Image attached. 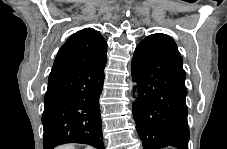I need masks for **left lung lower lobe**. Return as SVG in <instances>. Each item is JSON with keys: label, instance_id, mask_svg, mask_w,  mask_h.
Returning <instances> with one entry per match:
<instances>
[{"label": "left lung lower lobe", "instance_id": "0a47b994", "mask_svg": "<svg viewBox=\"0 0 227 149\" xmlns=\"http://www.w3.org/2000/svg\"><path fill=\"white\" fill-rule=\"evenodd\" d=\"M174 40L156 33L141 41L131 63L139 96L133 104L136 130L144 149H188L186 74Z\"/></svg>", "mask_w": 227, "mask_h": 149}]
</instances>
